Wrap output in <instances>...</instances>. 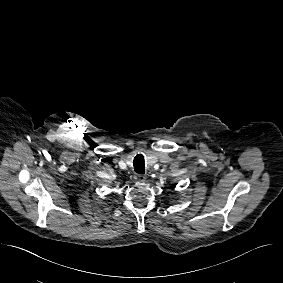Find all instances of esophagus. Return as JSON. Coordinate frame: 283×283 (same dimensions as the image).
Listing matches in <instances>:
<instances>
[{"mask_svg": "<svg viewBox=\"0 0 283 283\" xmlns=\"http://www.w3.org/2000/svg\"><path fill=\"white\" fill-rule=\"evenodd\" d=\"M146 177L142 174H135L134 175V180L138 183L144 182Z\"/></svg>", "mask_w": 283, "mask_h": 283, "instance_id": "1", "label": "esophagus"}]
</instances>
